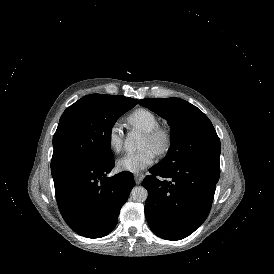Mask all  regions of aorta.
<instances>
[{
	"instance_id": "aorta-1",
	"label": "aorta",
	"mask_w": 274,
	"mask_h": 274,
	"mask_svg": "<svg viewBox=\"0 0 274 274\" xmlns=\"http://www.w3.org/2000/svg\"><path fill=\"white\" fill-rule=\"evenodd\" d=\"M140 143H141V136L138 132L131 131L128 133L125 140V146L128 149H135L139 147ZM147 197H148V191L142 186H136L131 191V198L135 202H144L146 201Z\"/></svg>"
}]
</instances>
